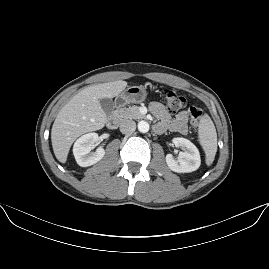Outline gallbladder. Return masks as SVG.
<instances>
[{
    "label": "gallbladder",
    "mask_w": 269,
    "mask_h": 269,
    "mask_svg": "<svg viewBox=\"0 0 269 269\" xmlns=\"http://www.w3.org/2000/svg\"><path fill=\"white\" fill-rule=\"evenodd\" d=\"M99 103L101 105V108L107 115H110L113 113L115 104L111 98H101L99 99Z\"/></svg>",
    "instance_id": "gallbladder-1"
}]
</instances>
